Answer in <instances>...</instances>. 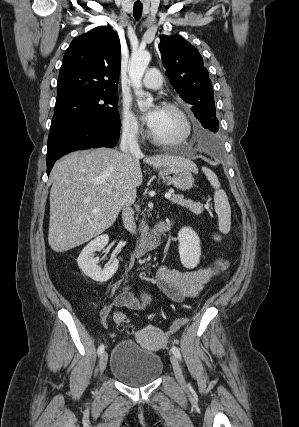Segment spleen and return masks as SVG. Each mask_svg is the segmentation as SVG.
Returning <instances> with one entry per match:
<instances>
[{
    "mask_svg": "<svg viewBox=\"0 0 299 427\" xmlns=\"http://www.w3.org/2000/svg\"><path fill=\"white\" fill-rule=\"evenodd\" d=\"M202 171L214 188V207L215 212L218 215V226L219 230L227 234L230 231L231 226V207L228 202L227 195L224 190L220 189V182L216 174L207 167H202Z\"/></svg>",
    "mask_w": 299,
    "mask_h": 427,
    "instance_id": "obj_1",
    "label": "spleen"
}]
</instances>
